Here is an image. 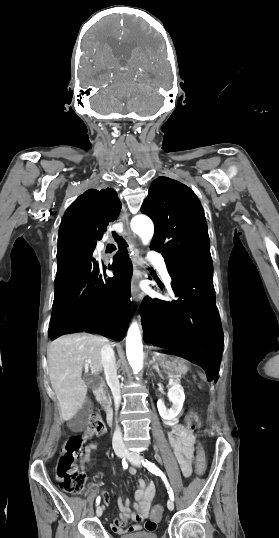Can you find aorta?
I'll return each instance as SVG.
<instances>
[{"label":"aorta","mask_w":279,"mask_h":538,"mask_svg":"<svg viewBox=\"0 0 279 538\" xmlns=\"http://www.w3.org/2000/svg\"><path fill=\"white\" fill-rule=\"evenodd\" d=\"M131 229L141 238L144 245L151 241L154 234L153 222L144 215H137L132 219ZM126 354L134 374H137L143 366V345L139 325L136 321L128 329Z\"/></svg>","instance_id":"1"}]
</instances>
